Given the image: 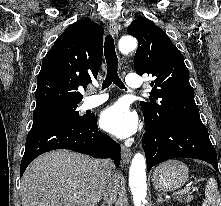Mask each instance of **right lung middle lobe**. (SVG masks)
I'll return each instance as SVG.
<instances>
[{
  "label": "right lung middle lobe",
  "instance_id": "right-lung-middle-lobe-1",
  "mask_svg": "<svg viewBox=\"0 0 221 206\" xmlns=\"http://www.w3.org/2000/svg\"><path fill=\"white\" fill-rule=\"evenodd\" d=\"M78 103L51 104L36 107L33 113L32 127L57 122H84L90 116H80L77 111Z\"/></svg>",
  "mask_w": 221,
  "mask_h": 206
}]
</instances>
